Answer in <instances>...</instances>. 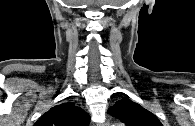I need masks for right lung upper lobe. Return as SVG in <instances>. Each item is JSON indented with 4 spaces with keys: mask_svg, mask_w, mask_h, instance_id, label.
Here are the masks:
<instances>
[{
    "mask_svg": "<svg viewBox=\"0 0 195 126\" xmlns=\"http://www.w3.org/2000/svg\"><path fill=\"white\" fill-rule=\"evenodd\" d=\"M90 117L74 102L52 107L34 126H86Z\"/></svg>",
    "mask_w": 195,
    "mask_h": 126,
    "instance_id": "cb5924a9",
    "label": "right lung upper lobe"
}]
</instances>
